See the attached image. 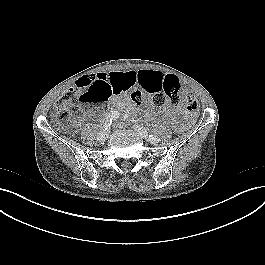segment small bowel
<instances>
[{"instance_id":"small-bowel-1","label":"small bowel","mask_w":265,"mask_h":265,"mask_svg":"<svg viewBox=\"0 0 265 265\" xmlns=\"http://www.w3.org/2000/svg\"><path fill=\"white\" fill-rule=\"evenodd\" d=\"M94 76L106 77L107 85L112 89L114 98L111 104L116 107H122L126 109L132 108V103L129 100L122 101L118 97L124 94L127 90L139 86L145 91L155 89L163 82L164 74L158 70H140V71H126V72H109L98 73ZM176 107L171 104H167L160 112L172 116ZM79 120H82L80 118Z\"/></svg>"}]
</instances>
